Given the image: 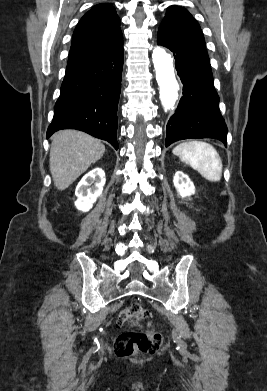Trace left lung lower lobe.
Instances as JSON below:
<instances>
[{"label": "left lung lower lobe", "instance_id": "1", "mask_svg": "<svg viewBox=\"0 0 267 391\" xmlns=\"http://www.w3.org/2000/svg\"><path fill=\"white\" fill-rule=\"evenodd\" d=\"M157 41L173 52L183 83V96L167 124L165 146L191 138H214L226 144L228 130L205 45L167 29L158 30Z\"/></svg>", "mask_w": 267, "mask_h": 391}]
</instances>
